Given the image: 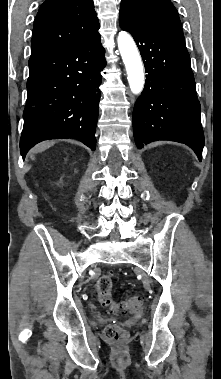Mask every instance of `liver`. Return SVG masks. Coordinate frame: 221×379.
I'll return each mask as SVG.
<instances>
[{"mask_svg":"<svg viewBox=\"0 0 221 379\" xmlns=\"http://www.w3.org/2000/svg\"><path fill=\"white\" fill-rule=\"evenodd\" d=\"M55 144V141H45V142H42L40 144H38L34 149H33V152L35 153H38V152H42L48 148H50L51 146H53Z\"/></svg>","mask_w":221,"mask_h":379,"instance_id":"obj_1","label":"liver"}]
</instances>
